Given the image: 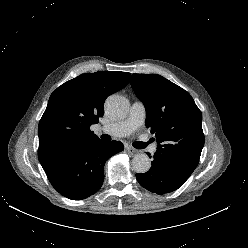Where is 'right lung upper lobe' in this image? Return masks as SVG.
Instances as JSON below:
<instances>
[{
	"label": "right lung upper lobe",
	"mask_w": 248,
	"mask_h": 248,
	"mask_svg": "<svg viewBox=\"0 0 248 248\" xmlns=\"http://www.w3.org/2000/svg\"><path fill=\"white\" fill-rule=\"evenodd\" d=\"M130 78V73L120 71L81 74L51 94L38 126L42 167L72 144L98 138L90 126L103 116L105 98L124 88Z\"/></svg>",
	"instance_id": "obj_1"
}]
</instances>
